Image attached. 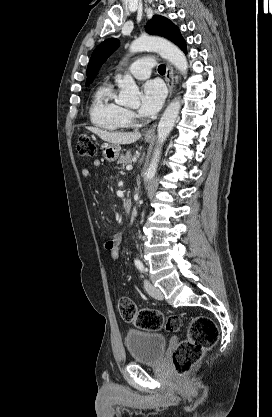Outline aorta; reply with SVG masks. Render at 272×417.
I'll list each match as a JSON object with an SVG mask.
<instances>
[{
	"mask_svg": "<svg viewBox=\"0 0 272 417\" xmlns=\"http://www.w3.org/2000/svg\"><path fill=\"white\" fill-rule=\"evenodd\" d=\"M142 51H156L163 58L172 63L175 68L183 75L187 74L188 63L184 53L169 41L155 36H141L134 40L130 45V53ZM121 89L118 101L122 105L137 106L140 103L139 88L131 75L125 74L123 79L118 82ZM181 108L180 98H175L166 108L157 127V145L154 150L153 158L146 172L145 180H151L156 173L162 145L173 129Z\"/></svg>",
	"mask_w": 272,
	"mask_h": 417,
	"instance_id": "obj_1",
	"label": "aorta"
}]
</instances>
